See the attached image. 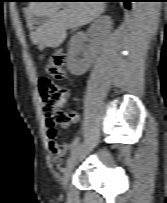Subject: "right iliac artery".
<instances>
[{
    "label": "right iliac artery",
    "instance_id": "right-iliac-artery-1",
    "mask_svg": "<svg viewBox=\"0 0 167 203\" xmlns=\"http://www.w3.org/2000/svg\"><path fill=\"white\" fill-rule=\"evenodd\" d=\"M78 143H79V137H77L72 143L71 154H73V152H74L75 148L77 147Z\"/></svg>",
    "mask_w": 167,
    "mask_h": 203
}]
</instances>
